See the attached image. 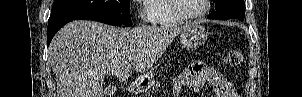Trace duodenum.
<instances>
[{"label": "duodenum", "mask_w": 302, "mask_h": 97, "mask_svg": "<svg viewBox=\"0 0 302 97\" xmlns=\"http://www.w3.org/2000/svg\"><path fill=\"white\" fill-rule=\"evenodd\" d=\"M128 89L131 94H137L142 89V82L140 80L133 81Z\"/></svg>", "instance_id": "1"}]
</instances>
